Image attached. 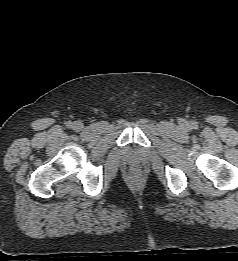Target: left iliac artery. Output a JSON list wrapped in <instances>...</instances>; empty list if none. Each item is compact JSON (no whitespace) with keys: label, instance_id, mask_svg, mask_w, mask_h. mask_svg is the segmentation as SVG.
Returning a JSON list of instances; mask_svg holds the SVG:
<instances>
[{"label":"left iliac artery","instance_id":"left-iliac-artery-1","mask_svg":"<svg viewBox=\"0 0 238 261\" xmlns=\"http://www.w3.org/2000/svg\"><path fill=\"white\" fill-rule=\"evenodd\" d=\"M193 128H197L196 123H192Z\"/></svg>","mask_w":238,"mask_h":261}]
</instances>
